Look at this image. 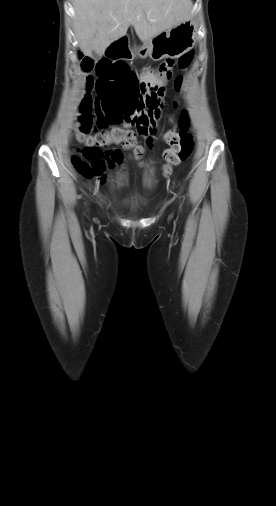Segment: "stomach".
<instances>
[{
	"instance_id": "1",
	"label": "stomach",
	"mask_w": 276,
	"mask_h": 506,
	"mask_svg": "<svg viewBox=\"0 0 276 506\" xmlns=\"http://www.w3.org/2000/svg\"><path fill=\"white\" fill-rule=\"evenodd\" d=\"M196 27L189 19L167 31H163L143 42L138 55L153 61L178 58L193 48L196 42Z\"/></svg>"
}]
</instances>
